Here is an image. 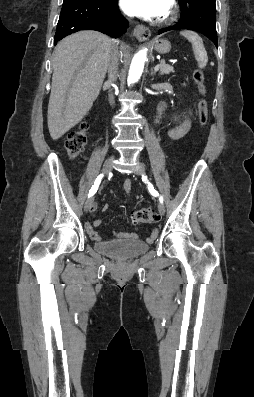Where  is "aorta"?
Masks as SVG:
<instances>
[{"mask_svg": "<svg viewBox=\"0 0 254 397\" xmlns=\"http://www.w3.org/2000/svg\"><path fill=\"white\" fill-rule=\"evenodd\" d=\"M146 54V49H143L133 57L128 74V85L134 84L139 80L144 69Z\"/></svg>", "mask_w": 254, "mask_h": 397, "instance_id": "1", "label": "aorta"}]
</instances>
